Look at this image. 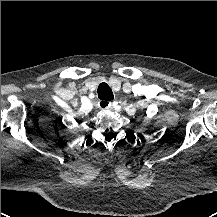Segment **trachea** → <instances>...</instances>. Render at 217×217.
<instances>
[{
	"mask_svg": "<svg viewBox=\"0 0 217 217\" xmlns=\"http://www.w3.org/2000/svg\"><path fill=\"white\" fill-rule=\"evenodd\" d=\"M98 98L106 101L114 98L111 88L106 83H101L98 86Z\"/></svg>",
	"mask_w": 217,
	"mask_h": 217,
	"instance_id": "trachea-1",
	"label": "trachea"
}]
</instances>
